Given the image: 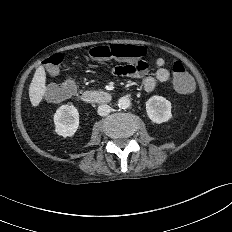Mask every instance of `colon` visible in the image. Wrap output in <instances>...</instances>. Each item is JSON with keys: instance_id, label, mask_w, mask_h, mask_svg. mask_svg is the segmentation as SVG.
I'll use <instances>...</instances> for the list:
<instances>
[{"instance_id": "5ec220e1", "label": "colon", "mask_w": 232, "mask_h": 232, "mask_svg": "<svg viewBox=\"0 0 232 232\" xmlns=\"http://www.w3.org/2000/svg\"><path fill=\"white\" fill-rule=\"evenodd\" d=\"M149 49L138 45L110 44L101 45L91 48L89 51L81 53L83 58H91L94 60L117 59L127 62V65H139L141 59L149 54ZM64 56L61 53H55L48 56L44 64L49 74H54L58 70ZM173 86L175 90L182 94H187L193 89V80L187 73L184 66L180 62H175L172 66ZM75 83L68 78L58 84L48 88L47 97L53 101H60L69 97L75 91Z\"/></svg>"}]
</instances>
